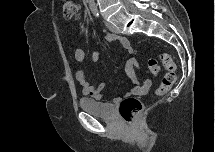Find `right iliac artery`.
<instances>
[{
  "label": "right iliac artery",
  "mask_w": 215,
  "mask_h": 152,
  "mask_svg": "<svg viewBox=\"0 0 215 152\" xmlns=\"http://www.w3.org/2000/svg\"><path fill=\"white\" fill-rule=\"evenodd\" d=\"M92 13L94 14V16L99 17V12L96 8L92 9Z\"/></svg>",
  "instance_id": "1"
}]
</instances>
